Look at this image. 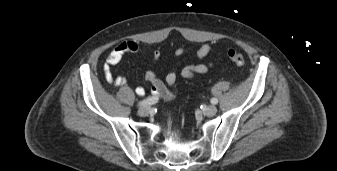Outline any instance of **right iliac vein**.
<instances>
[{
    "mask_svg": "<svg viewBox=\"0 0 337 171\" xmlns=\"http://www.w3.org/2000/svg\"><path fill=\"white\" fill-rule=\"evenodd\" d=\"M150 112V107L148 106H145V107H141L139 110H138V114L140 116H146L148 113Z\"/></svg>",
    "mask_w": 337,
    "mask_h": 171,
    "instance_id": "right-iliac-vein-1",
    "label": "right iliac vein"
}]
</instances>
